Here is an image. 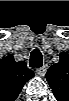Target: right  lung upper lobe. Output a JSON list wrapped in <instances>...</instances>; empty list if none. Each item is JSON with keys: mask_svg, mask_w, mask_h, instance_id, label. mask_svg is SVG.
Wrapping results in <instances>:
<instances>
[{"mask_svg": "<svg viewBox=\"0 0 69 101\" xmlns=\"http://www.w3.org/2000/svg\"><path fill=\"white\" fill-rule=\"evenodd\" d=\"M34 77L24 61L16 62L12 55L0 61V91L10 100H15L24 84Z\"/></svg>", "mask_w": 69, "mask_h": 101, "instance_id": "obj_1", "label": "right lung upper lobe"}]
</instances>
